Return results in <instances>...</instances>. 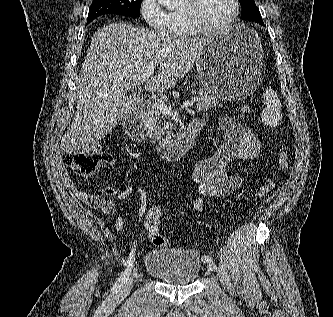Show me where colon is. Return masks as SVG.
Returning a JSON list of instances; mask_svg holds the SVG:
<instances>
[{
	"label": "colon",
	"mask_w": 333,
	"mask_h": 317,
	"mask_svg": "<svg viewBox=\"0 0 333 317\" xmlns=\"http://www.w3.org/2000/svg\"><path fill=\"white\" fill-rule=\"evenodd\" d=\"M244 114H250V106H242ZM106 157L102 154L99 146H92L85 151L67 153L64 156V163L76 174L81 177L92 176L101 166ZM278 165L282 171L288 169V152L281 148L278 153ZM275 187L274 180L266 181L257 191L256 196L263 198L268 195ZM165 216V207L162 204L149 205L144 217V229L151 243L157 247H167L169 239L160 233L159 224Z\"/></svg>",
	"instance_id": "colon-1"
}]
</instances>
